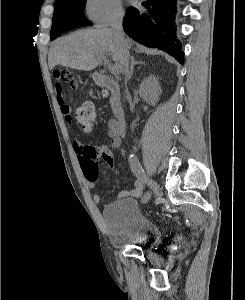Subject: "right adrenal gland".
Segmentation results:
<instances>
[{
  "label": "right adrenal gland",
  "mask_w": 245,
  "mask_h": 300,
  "mask_svg": "<svg viewBox=\"0 0 245 300\" xmlns=\"http://www.w3.org/2000/svg\"><path fill=\"white\" fill-rule=\"evenodd\" d=\"M130 63H131V65H130V72L127 75L128 79H130L132 77V75H133V69H134L135 65H137V64H145V62L135 60L134 56L131 57Z\"/></svg>",
  "instance_id": "right-adrenal-gland-1"
}]
</instances>
